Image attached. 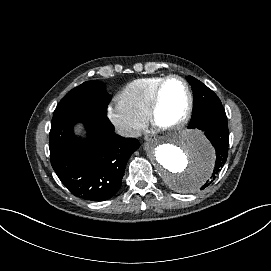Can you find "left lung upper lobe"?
I'll return each mask as SVG.
<instances>
[{
	"label": "left lung upper lobe",
	"mask_w": 271,
	"mask_h": 271,
	"mask_svg": "<svg viewBox=\"0 0 271 271\" xmlns=\"http://www.w3.org/2000/svg\"><path fill=\"white\" fill-rule=\"evenodd\" d=\"M186 78L194 92L193 112L189 123L191 124L198 119L204 109L216 104L221 105L222 103L217 95L202 82L192 76H187Z\"/></svg>",
	"instance_id": "5c2ea615"
}]
</instances>
